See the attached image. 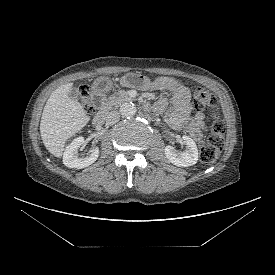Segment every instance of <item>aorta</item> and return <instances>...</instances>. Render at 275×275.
I'll return each mask as SVG.
<instances>
[{"label": "aorta", "mask_w": 275, "mask_h": 275, "mask_svg": "<svg viewBox=\"0 0 275 275\" xmlns=\"http://www.w3.org/2000/svg\"><path fill=\"white\" fill-rule=\"evenodd\" d=\"M136 106L133 103H124L120 107L121 115L124 117H132L136 114Z\"/></svg>", "instance_id": "obj_1"}]
</instances>
